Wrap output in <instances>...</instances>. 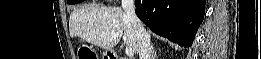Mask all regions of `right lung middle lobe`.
<instances>
[{
    "label": "right lung middle lobe",
    "instance_id": "obj_1",
    "mask_svg": "<svg viewBox=\"0 0 261 59\" xmlns=\"http://www.w3.org/2000/svg\"><path fill=\"white\" fill-rule=\"evenodd\" d=\"M82 0H71V1H69L68 3L69 4H76V3H79V2H81Z\"/></svg>",
    "mask_w": 261,
    "mask_h": 59
}]
</instances>
